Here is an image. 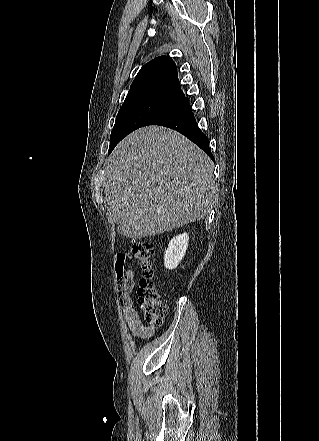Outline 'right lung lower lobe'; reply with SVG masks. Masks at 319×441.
Returning <instances> with one entry per match:
<instances>
[{
    "label": "right lung lower lobe",
    "mask_w": 319,
    "mask_h": 441,
    "mask_svg": "<svg viewBox=\"0 0 319 441\" xmlns=\"http://www.w3.org/2000/svg\"><path fill=\"white\" fill-rule=\"evenodd\" d=\"M147 125H161L180 132L214 160L208 138L198 127L188 98L184 97L180 102L152 119Z\"/></svg>",
    "instance_id": "right-lung-lower-lobe-1"
}]
</instances>
